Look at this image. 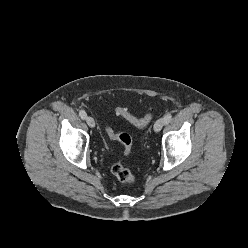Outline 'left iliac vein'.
Masks as SVG:
<instances>
[{"instance_id": "obj_1", "label": "left iliac vein", "mask_w": 248, "mask_h": 248, "mask_svg": "<svg viewBox=\"0 0 248 248\" xmlns=\"http://www.w3.org/2000/svg\"><path fill=\"white\" fill-rule=\"evenodd\" d=\"M164 124H165L164 118L158 119L154 124V127H153L154 131L159 132L163 128Z\"/></svg>"}]
</instances>
